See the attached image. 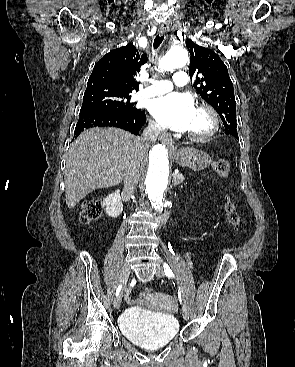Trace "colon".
I'll list each match as a JSON object with an SVG mask.
<instances>
[{"instance_id":"5ec220e1","label":"colon","mask_w":295,"mask_h":367,"mask_svg":"<svg viewBox=\"0 0 295 367\" xmlns=\"http://www.w3.org/2000/svg\"><path fill=\"white\" fill-rule=\"evenodd\" d=\"M212 169L222 178L227 177L230 171V163L226 159H218L212 165ZM103 204L101 199L94 198L88 200L83 204L82 210L80 212V221L82 223H89L96 218H98L102 212ZM224 210L226 218L230 224L238 228L241 224L240 215L229 197L225 198ZM151 294L150 289H145L142 292V296L146 297Z\"/></svg>"}]
</instances>
